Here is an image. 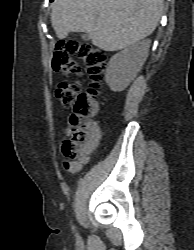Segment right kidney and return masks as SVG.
Listing matches in <instances>:
<instances>
[{
	"instance_id": "1",
	"label": "right kidney",
	"mask_w": 194,
	"mask_h": 250,
	"mask_svg": "<svg viewBox=\"0 0 194 250\" xmlns=\"http://www.w3.org/2000/svg\"><path fill=\"white\" fill-rule=\"evenodd\" d=\"M150 44V39L139 41L110 59L105 80L113 92L123 91L136 77L148 57Z\"/></svg>"
}]
</instances>
